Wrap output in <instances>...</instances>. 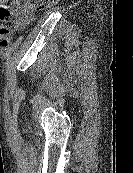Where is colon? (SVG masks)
<instances>
[{"label":"colon","instance_id":"colon-1","mask_svg":"<svg viewBox=\"0 0 133 173\" xmlns=\"http://www.w3.org/2000/svg\"><path fill=\"white\" fill-rule=\"evenodd\" d=\"M59 0H33L32 8L36 10L51 7L58 3ZM14 19L9 9L1 5L0 6V44L7 46L10 42L9 35L13 29Z\"/></svg>","mask_w":133,"mask_h":173}]
</instances>
